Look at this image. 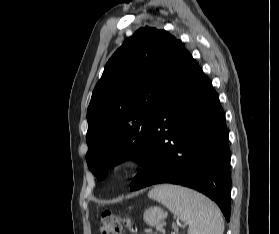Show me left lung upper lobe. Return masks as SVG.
<instances>
[{
	"mask_svg": "<svg viewBox=\"0 0 279 234\" xmlns=\"http://www.w3.org/2000/svg\"><path fill=\"white\" fill-rule=\"evenodd\" d=\"M183 49L167 31L144 27L107 62L87 110L86 161L99 180L128 158L143 163L155 110Z\"/></svg>",
	"mask_w": 279,
	"mask_h": 234,
	"instance_id": "obj_1",
	"label": "left lung upper lobe"
}]
</instances>
